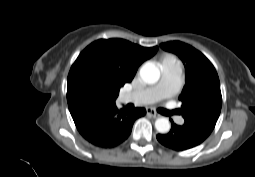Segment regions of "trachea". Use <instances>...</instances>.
Here are the masks:
<instances>
[{
	"instance_id": "obj_1",
	"label": "trachea",
	"mask_w": 255,
	"mask_h": 177,
	"mask_svg": "<svg viewBox=\"0 0 255 177\" xmlns=\"http://www.w3.org/2000/svg\"><path fill=\"white\" fill-rule=\"evenodd\" d=\"M158 112L163 114V115H172V114H178L179 110L168 111V110H165V109H159Z\"/></svg>"
}]
</instances>
